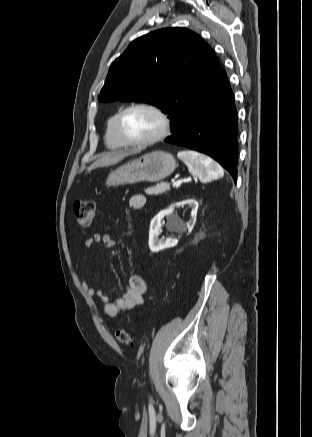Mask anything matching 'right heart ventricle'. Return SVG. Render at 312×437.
Here are the masks:
<instances>
[{"instance_id": "1", "label": "right heart ventricle", "mask_w": 312, "mask_h": 437, "mask_svg": "<svg viewBox=\"0 0 312 437\" xmlns=\"http://www.w3.org/2000/svg\"><path fill=\"white\" fill-rule=\"evenodd\" d=\"M119 112L113 114L107 121L106 131H105V142L107 146L111 149H121L127 145L121 140L116 131V119Z\"/></svg>"}]
</instances>
